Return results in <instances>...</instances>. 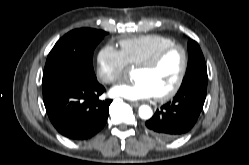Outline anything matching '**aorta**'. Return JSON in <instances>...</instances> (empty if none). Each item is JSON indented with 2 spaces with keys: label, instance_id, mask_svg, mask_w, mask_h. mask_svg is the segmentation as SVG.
I'll return each instance as SVG.
<instances>
[{
  "label": "aorta",
  "instance_id": "aorta-1",
  "mask_svg": "<svg viewBox=\"0 0 249 165\" xmlns=\"http://www.w3.org/2000/svg\"><path fill=\"white\" fill-rule=\"evenodd\" d=\"M153 115L152 109L148 105H142L139 107V116L142 119H149Z\"/></svg>",
  "mask_w": 249,
  "mask_h": 165
}]
</instances>
